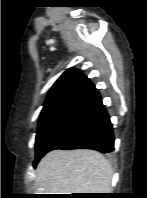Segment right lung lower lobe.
I'll list each match as a JSON object with an SVG mask.
<instances>
[{"label": "right lung lower lobe", "instance_id": "1", "mask_svg": "<svg viewBox=\"0 0 147 198\" xmlns=\"http://www.w3.org/2000/svg\"><path fill=\"white\" fill-rule=\"evenodd\" d=\"M55 149H93L102 153L114 150L112 124L96 90L75 105L43 142L34 165Z\"/></svg>", "mask_w": 147, "mask_h": 198}]
</instances>
